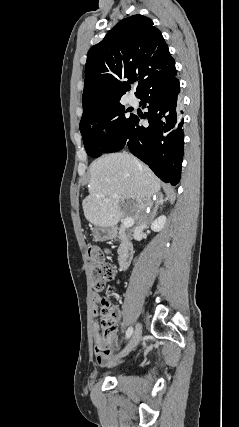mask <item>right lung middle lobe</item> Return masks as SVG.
Masks as SVG:
<instances>
[{"mask_svg":"<svg viewBox=\"0 0 239 427\" xmlns=\"http://www.w3.org/2000/svg\"><path fill=\"white\" fill-rule=\"evenodd\" d=\"M126 112L125 107L116 101L98 105L82 116L80 132L89 156L99 157L102 153H112L123 147L134 116L126 115ZM105 128L110 130L108 135L103 131Z\"/></svg>","mask_w":239,"mask_h":427,"instance_id":"dd1d6c3e","label":"right lung middle lobe"}]
</instances>
